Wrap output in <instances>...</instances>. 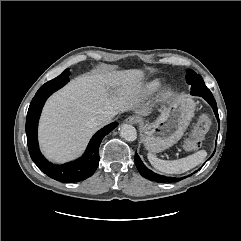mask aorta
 <instances>
[{"label":"aorta","mask_w":241,"mask_h":241,"mask_svg":"<svg viewBox=\"0 0 241 241\" xmlns=\"http://www.w3.org/2000/svg\"><path fill=\"white\" fill-rule=\"evenodd\" d=\"M120 136L127 141H134L137 138L135 127L129 124H122L119 128Z\"/></svg>","instance_id":"762f6f07"}]
</instances>
